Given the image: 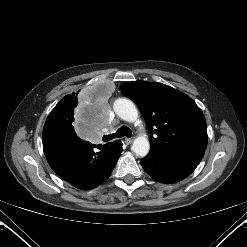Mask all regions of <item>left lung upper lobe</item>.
I'll return each instance as SVG.
<instances>
[{"label": "left lung upper lobe", "mask_w": 247, "mask_h": 247, "mask_svg": "<svg viewBox=\"0 0 247 247\" xmlns=\"http://www.w3.org/2000/svg\"><path fill=\"white\" fill-rule=\"evenodd\" d=\"M120 90L137 104L145 118L152 134L151 147L168 151L187 147L206 149L204 115L186 94L168 85L147 81L128 82Z\"/></svg>", "instance_id": "left-lung-upper-lobe-1"}]
</instances>
